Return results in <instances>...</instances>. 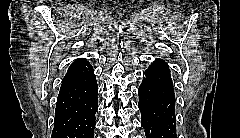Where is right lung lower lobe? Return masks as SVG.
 Returning <instances> with one entry per match:
<instances>
[{"instance_id": "1", "label": "right lung lower lobe", "mask_w": 240, "mask_h": 138, "mask_svg": "<svg viewBox=\"0 0 240 138\" xmlns=\"http://www.w3.org/2000/svg\"><path fill=\"white\" fill-rule=\"evenodd\" d=\"M97 94L94 73L77 82L61 85L52 138H94Z\"/></svg>"}]
</instances>
